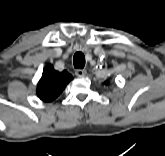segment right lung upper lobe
<instances>
[{
    "instance_id": "right-lung-upper-lobe-1",
    "label": "right lung upper lobe",
    "mask_w": 165,
    "mask_h": 156,
    "mask_svg": "<svg viewBox=\"0 0 165 156\" xmlns=\"http://www.w3.org/2000/svg\"><path fill=\"white\" fill-rule=\"evenodd\" d=\"M72 79L73 77L67 71L58 72L49 64L44 68L37 85V95L41 100L51 102L61 94Z\"/></svg>"
}]
</instances>
